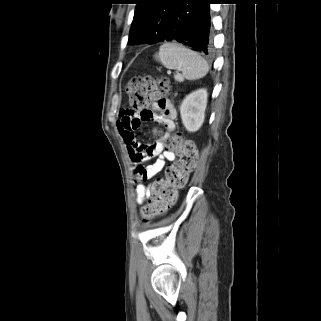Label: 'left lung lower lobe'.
<instances>
[{"mask_svg":"<svg viewBox=\"0 0 321 321\" xmlns=\"http://www.w3.org/2000/svg\"><path fill=\"white\" fill-rule=\"evenodd\" d=\"M215 0H177L161 42L177 41L194 50L212 51L210 4Z\"/></svg>","mask_w":321,"mask_h":321,"instance_id":"0a47b994","label":"left lung lower lobe"}]
</instances>
